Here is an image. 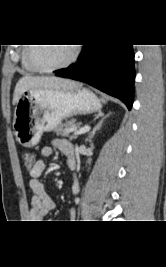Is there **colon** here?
<instances>
[{
    "label": "colon",
    "instance_id": "1",
    "mask_svg": "<svg viewBox=\"0 0 166 267\" xmlns=\"http://www.w3.org/2000/svg\"><path fill=\"white\" fill-rule=\"evenodd\" d=\"M23 161H24V164L27 168H31L33 167V165L35 164V156L33 153L31 152H23L22 155H21Z\"/></svg>",
    "mask_w": 166,
    "mask_h": 267
}]
</instances>
